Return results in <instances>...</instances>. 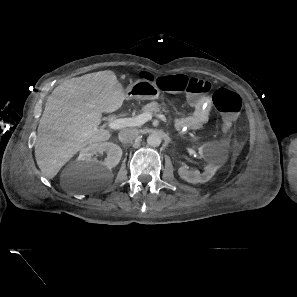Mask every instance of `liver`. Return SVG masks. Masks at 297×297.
<instances>
[{
  "instance_id": "obj_1",
  "label": "liver",
  "mask_w": 297,
  "mask_h": 297,
  "mask_svg": "<svg viewBox=\"0 0 297 297\" xmlns=\"http://www.w3.org/2000/svg\"><path fill=\"white\" fill-rule=\"evenodd\" d=\"M125 99L111 70L85 74L57 86L47 98L34 145L42 174L54 178L82 148L109 140L111 133L98 128L102 113L118 110Z\"/></svg>"
}]
</instances>
